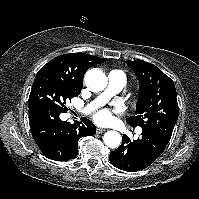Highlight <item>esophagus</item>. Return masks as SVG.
<instances>
[{
  "label": "esophagus",
  "mask_w": 199,
  "mask_h": 199,
  "mask_svg": "<svg viewBox=\"0 0 199 199\" xmlns=\"http://www.w3.org/2000/svg\"><path fill=\"white\" fill-rule=\"evenodd\" d=\"M105 131H106L105 128H97V130H96V132H97L98 134H102V133L105 132Z\"/></svg>",
  "instance_id": "34e87169"
}]
</instances>
